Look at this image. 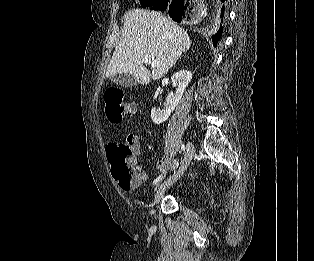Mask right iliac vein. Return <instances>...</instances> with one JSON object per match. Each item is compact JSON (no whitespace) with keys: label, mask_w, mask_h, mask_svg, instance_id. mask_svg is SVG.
<instances>
[{"label":"right iliac vein","mask_w":314,"mask_h":261,"mask_svg":"<svg viewBox=\"0 0 314 261\" xmlns=\"http://www.w3.org/2000/svg\"><path fill=\"white\" fill-rule=\"evenodd\" d=\"M193 154H194V146L191 142H188L186 152L184 155V159H183L181 166L179 167L177 172H175L170 178H168L165 182H163L159 186V188L156 192V195H155L154 204H158L161 197L163 196L164 192L168 188H170L176 181H178L181 178V176L186 171L188 165L190 164L192 157H193Z\"/></svg>","instance_id":"obj_1"}]
</instances>
